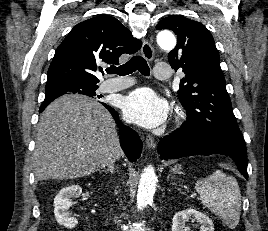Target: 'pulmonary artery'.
<instances>
[{"mask_svg":"<svg viewBox=\"0 0 268 231\" xmlns=\"http://www.w3.org/2000/svg\"><path fill=\"white\" fill-rule=\"evenodd\" d=\"M171 69L169 64L160 63L154 67L153 76L159 81H168L170 78ZM132 84L129 78H112L102 84V90L106 93H113L123 90Z\"/></svg>","mask_w":268,"mask_h":231,"instance_id":"obj_1","label":"pulmonary artery"}]
</instances>
